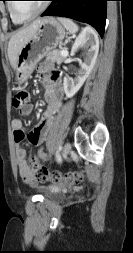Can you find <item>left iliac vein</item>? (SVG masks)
Here are the masks:
<instances>
[{
    "label": "left iliac vein",
    "instance_id": "obj_1",
    "mask_svg": "<svg viewBox=\"0 0 133 253\" xmlns=\"http://www.w3.org/2000/svg\"><path fill=\"white\" fill-rule=\"evenodd\" d=\"M71 151V144L70 143H66L63 147V150H62V154L64 157H66Z\"/></svg>",
    "mask_w": 133,
    "mask_h": 253
}]
</instances>
